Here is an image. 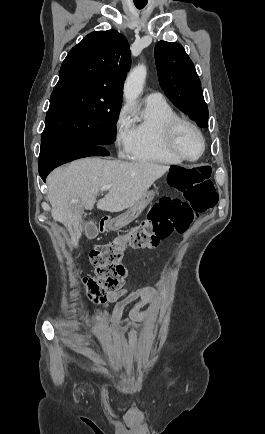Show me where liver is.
<instances>
[{
	"mask_svg": "<svg viewBox=\"0 0 265 434\" xmlns=\"http://www.w3.org/2000/svg\"><path fill=\"white\" fill-rule=\"evenodd\" d=\"M170 166L150 162H121L83 158L65 168L53 170L47 178L51 216L67 228L72 244L82 236L84 208L92 210L102 186H111L108 194L97 202L99 210L122 212L132 208L155 180L169 172ZM79 200V204H70Z\"/></svg>",
	"mask_w": 265,
	"mask_h": 434,
	"instance_id": "liver-1",
	"label": "liver"
}]
</instances>
